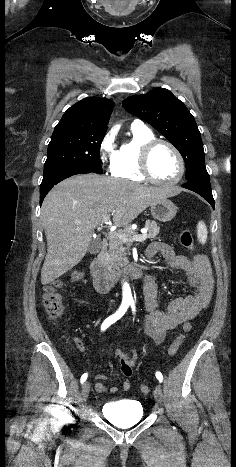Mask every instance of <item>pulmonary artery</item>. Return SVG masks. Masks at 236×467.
Wrapping results in <instances>:
<instances>
[{"instance_id":"pulmonary-artery-1","label":"pulmonary artery","mask_w":236,"mask_h":467,"mask_svg":"<svg viewBox=\"0 0 236 467\" xmlns=\"http://www.w3.org/2000/svg\"><path fill=\"white\" fill-rule=\"evenodd\" d=\"M131 126H145V125L141 120L135 119V120H133Z\"/></svg>"}]
</instances>
